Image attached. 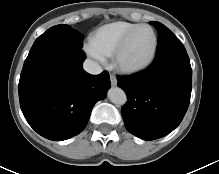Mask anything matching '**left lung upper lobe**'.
I'll return each mask as SVG.
<instances>
[{"instance_id": "left-lung-upper-lobe-1", "label": "left lung upper lobe", "mask_w": 219, "mask_h": 174, "mask_svg": "<svg viewBox=\"0 0 219 174\" xmlns=\"http://www.w3.org/2000/svg\"><path fill=\"white\" fill-rule=\"evenodd\" d=\"M151 24L157 29L158 44L156 56L169 51H186L177 37L160 22L152 21Z\"/></svg>"}]
</instances>
